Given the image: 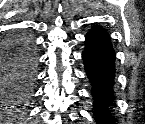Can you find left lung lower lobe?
<instances>
[{"mask_svg":"<svg viewBox=\"0 0 145 124\" xmlns=\"http://www.w3.org/2000/svg\"><path fill=\"white\" fill-rule=\"evenodd\" d=\"M85 38L82 57L92 84L95 116L98 124H111L114 122L109 108L114 100L115 52L108 33L101 27H94Z\"/></svg>","mask_w":145,"mask_h":124,"instance_id":"1","label":"left lung lower lobe"}]
</instances>
